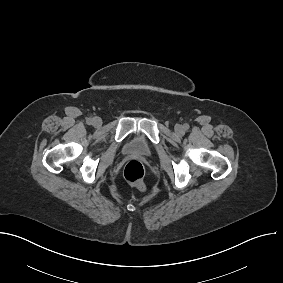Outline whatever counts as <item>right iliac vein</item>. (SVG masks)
Returning a JSON list of instances; mask_svg holds the SVG:
<instances>
[{
  "label": "right iliac vein",
  "mask_w": 283,
  "mask_h": 283,
  "mask_svg": "<svg viewBox=\"0 0 283 283\" xmlns=\"http://www.w3.org/2000/svg\"><path fill=\"white\" fill-rule=\"evenodd\" d=\"M101 124H102V120L99 117L93 118V125L94 126L99 127V126H101Z\"/></svg>",
  "instance_id": "obj_1"
}]
</instances>
